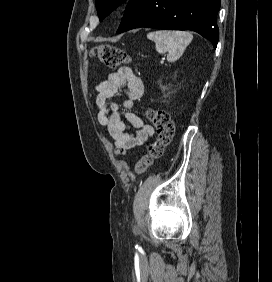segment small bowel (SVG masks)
<instances>
[{"label": "small bowel", "instance_id": "small-bowel-1", "mask_svg": "<svg viewBox=\"0 0 272 282\" xmlns=\"http://www.w3.org/2000/svg\"><path fill=\"white\" fill-rule=\"evenodd\" d=\"M124 88L125 99L122 105L115 101L118 90ZM96 107L97 120L100 125L107 128L108 133L114 139L116 153L123 154L127 150L142 145L154 133L152 126L144 125L142 119L133 113L135 102L143 94V82L135 76L128 67H121L108 75L107 80L99 83ZM128 124H125L123 119ZM130 127L135 128L136 134L128 132Z\"/></svg>", "mask_w": 272, "mask_h": 282}]
</instances>
